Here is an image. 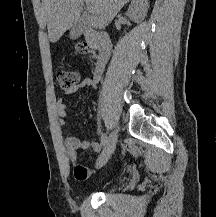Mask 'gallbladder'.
<instances>
[{
  "instance_id": "gallbladder-1",
  "label": "gallbladder",
  "mask_w": 216,
  "mask_h": 217,
  "mask_svg": "<svg viewBox=\"0 0 216 217\" xmlns=\"http://www.w3.org/2000/svg\"><path fill=\"white\" fill-rule=\"evenodd\" d=\"M83 25H84V21L80 20L72 27L70 31V39L72 40L77 39L81 35L83 30Z\"/></svg>"
}]
</instances>
